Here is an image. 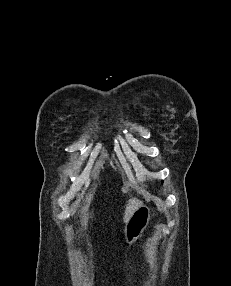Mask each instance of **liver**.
Masks as SVG:
<instances>
[{
    "label": "liver",
    "instance_id": "liver-1",
    "mask_svg": "<svg viewBox=\"0 0 231 286\" xmlns=\"http://www.w3.org/2000/svg\"><path fill=\"white\" fill-rule=\"evenodd\" d=\"M143 205V202L136 199V198H131L126 204L125 211H124V217L123 221L124 223H127L134 212Z\"/></svg>",
    "mask_w": 231,
    "mask_h": 286
}]
</instances>
